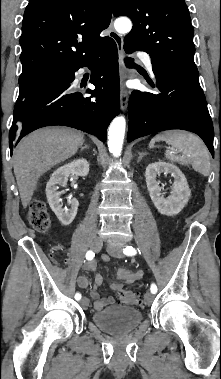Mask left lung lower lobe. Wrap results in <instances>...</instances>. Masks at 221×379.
I'll return each instance as SVG.
<instances>
[{"instance_id":"1","label":"left lung lower lobe","mask_w":221,"mask_h":379,"mask_svg":"<svg viewBox=\"0 0 221 379\" xmlns=\"http://www.w3.org/2000/svg\"><path fill=\"white\" fill-rule=\"evenodd\" d=\"M127 53L138 50L125 42ZM157 87L153 94L135 90L129 100L128 141L159 131L183 129L198 134L214 155V130L198 75L153 63Z\"/></svg>"}]
</instances>
